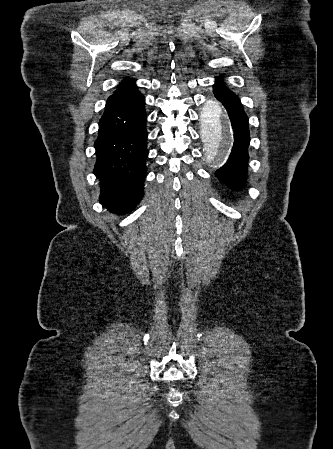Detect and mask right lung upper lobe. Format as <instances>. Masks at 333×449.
I'll return each mask as SVG.
<instances>
[{
    "mask_svg": "<svg viewBox=\"0 0 333 449\" xmlns=\"http://www.w3.org/2000/svg\"><path fill=\"white\" fill-rule=\"evenodd\" d=\"M120 86L121 87L115 92V94L108 98L106 105L109 106L115 104L130 95L138 93L135 85V79H130L127 77L121 82Z\"/></svg>",
    "mask_w": 333,
    "mask_h": 449,
    "instance_id": "cb5924a9",
    "label": "right lung upper lobe"
}]
</instances>
